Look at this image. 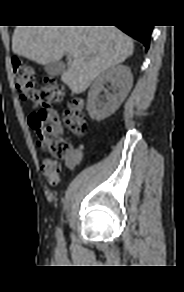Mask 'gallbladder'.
<instances>
[{"label": "gallbladder", "instance_id": "1", "mask_svg": "<svg viewBox=\"0 0 184 292\" xmlns=\"http://www.w3.org/2000/svg\"><path fill=\"white\" fill-rule=\"evenodd\" d=\"M45 71L51 76H59L65 70V65L60 61H51L44 66Z\"/></svg>", "mask_w": 184, "mask_h": 292}]
</instances>
